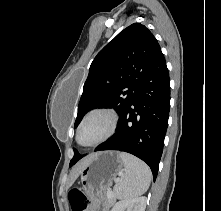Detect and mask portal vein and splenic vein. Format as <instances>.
<instances>
[{"label":"portal vein and splenic vein","mask_w":221,"mask_h":211,"mask_svg":"<svg viewBox=\"0 0 221 211\" xmlns=\"http://www.w3.org/2000/svg\"><path fill=\"white\" fill-rule=\"evenodd\" d=\"M107 197H108V198L114 197V193H113L111 190H108V192H107Z\"/></svg>","instance_id":"portal-vein-and-splenic-vein-1"}]
</instances>
